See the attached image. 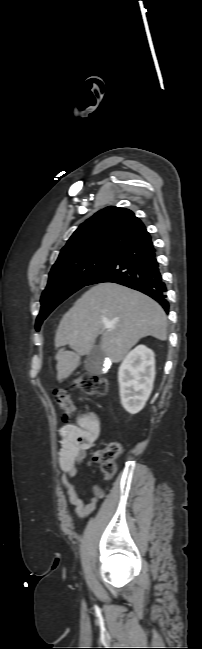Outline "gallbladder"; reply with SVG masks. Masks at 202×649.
<instances>
[{"instance_id": "gallbladder-1", "label": "gallbladder", "mask_w": 202, "mask_h": 649, "mask_svg": "<svg viewBox=\"0 0 202 649\" xmlns=\"http://www.w3.org/2000/svg\"><path fill=\"white\" fill-rule=\"evenodd\" d=\"M104 363V353L99 345H95L93 349L86 355L84 361V368L92 374L102 372Z\"/></svg>"}]
</instances>
